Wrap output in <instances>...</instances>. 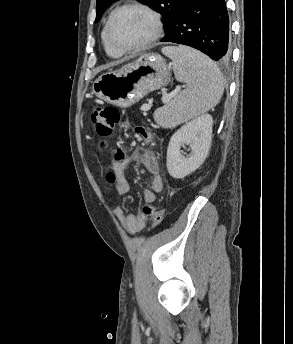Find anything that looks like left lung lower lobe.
<instances>
[{"mask_svg": "<svg viewBox=\"0 0 293 344\" xmlns=\"http://www.w3.org/2000/svg\"><path fill=\"white\" fill-rule=\"evenodd\" d=\"M196 48L213 60L230 57L229 18L224 0H184L173 26L161 39Z\"/></svg>", "mask_w": 293, "mask_h": 344, "instance_id": "left-lung-lower-lobe-1", "label": "left lung lower lobe"}]
</instances>
